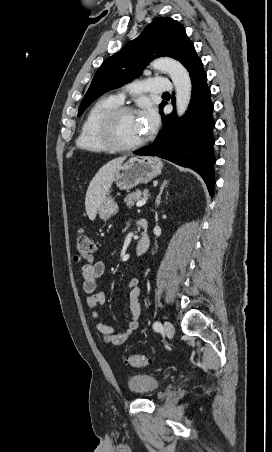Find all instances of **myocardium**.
Here are the masks:
<instances>
[{
  "label": "myocardium",
  "instance_id": "f54148a6",
  "mask_svg": "<svg viewBox=\"0 0 272 452\" xmlns=\"http://www.w3.org/2000/svg\"><path fill=\"white\" fill-rule=\"evenodd\" d=\"M123 114H135V110L129 106L118 105L107 110L100 118L98 122V131L106 146L110 150L116 151H129L134 150L147 141L146 137H143L134 143H123L116 137V122L118 118Z\"/></svg>",
  "mask_w": 272,
  "mask_h": 452
}]
</instances>
